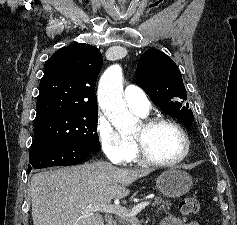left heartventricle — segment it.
<instances>
[{
  "mask_svg": "<svg viewBox=\"0 0 237 225\" xmlns=\"http://www.w3.org/2000/svg\"><path fill=\"white\" fill-rule=\"evenodd\" d=\"M131 136L141 139L147 152L159 160H174L184 150L181 135L169 125H159L150 131H145L140 124Z\"/></svg>",
  "mask_w": 237,
  "mask_h": 225,
  "instance_id": "b2bd125f",
  "label": "left heart ventricle"
}]
</instances>
